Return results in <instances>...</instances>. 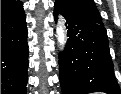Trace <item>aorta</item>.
I'll use <instances>...</instances> for the list:
<instances>
[{
    "instance_id": "1",
    "label": "aorta",
    "mask_w": 121,
    "mask_h": 94,
    "mask_svg": "<svg viewBox=\"0 0 121 94\" xmlns=\"http://www.w3.org/2000/svg\"><path fill=\"white\" fill-rule=\"evenodd\" d=\"M56 34L60 49H63L66 43V35H65L64 26L61 21L58 22L56 28Z\"/></svg>"
}]
</instances>
